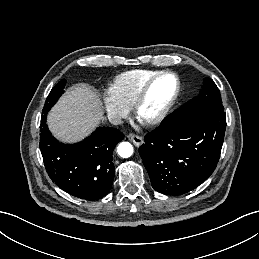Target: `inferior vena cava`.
<instances>
[{
  "mask_svg": "<svg viewBox=\"0 0 259 259\" xmlns=\"http://www.w3.org/2000/svg\"><path fill=\"white\" fill-rule=\"evenodd\" d=\"M109 121L113 125H120L122 124V118L118 115H111L109 116Z\"/></svg>",
  "mask_w": 259,
  "mask_h": 259,
  "instance_id": "obj_1",
  "label": "inferior vena cava"
}]
</instances>
